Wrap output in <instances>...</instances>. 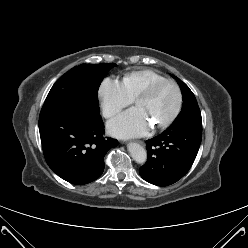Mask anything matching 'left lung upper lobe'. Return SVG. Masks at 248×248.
<instances>
[{
  "label": "left lung upper lobe",
  "instance_id": "left-lung-upper-lobe-1",
  "mask_svg": "<svg viewBox=\"0 0 248 248\" xmlns=\"http://www.w3.org/2000/svg\"><path fill=\"white\" fill-rule=\"evenodd\" d=\"M173 77L177 80L181 88L183 106L180 114L168 128L174 129L187 126L202 127L201 112L194 94L184 82L175 76Z\"/></svg>",
  "mask_w": 248,
  "mask_h": 248
}]
</instances>
